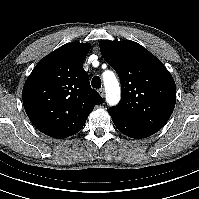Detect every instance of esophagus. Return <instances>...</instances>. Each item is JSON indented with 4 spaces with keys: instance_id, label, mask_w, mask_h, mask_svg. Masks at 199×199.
Listing matches in <instances>:
<instances>
[{
    "instance_id": "obj_1",
    "label": "esophagus",
    "mask_w": 199,
    "mask_h": 199,
    "mask_svg": "<svg viewBox=\"0 0 199 199\" xmlns=\"http://www.w3.org/2000/svg\"><path fill=\"white\" fill-rule=\"evenodd\" d=\"M98 93H99L102 97H104V96H105V90H104V88L99 89V90H98Z\"/></svg>"
}]
</instances>
